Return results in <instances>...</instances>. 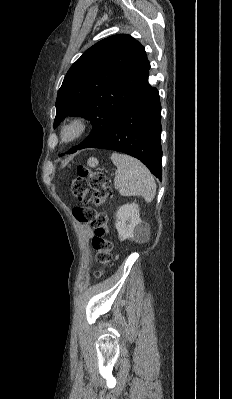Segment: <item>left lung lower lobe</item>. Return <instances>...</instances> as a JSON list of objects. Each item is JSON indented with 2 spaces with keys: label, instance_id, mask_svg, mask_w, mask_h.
I'll return each mask as SVG.
<instances>
[{
  "label": "left lung lower lobe",
  "instance_id": "1",
  "mask_svg": "<svg viewBox=\"0 0 232 399\" xmlns=\"http://www.w3.org/2000/svg\"><path fill=\"white\" fill-rule=\"evenodd\" d=\"M149 69L148 62L131 100L106 135L90 148L109 149L131 155L161 180V105L158 90L148 83Z\"/></svg>",
  "mask_w": 232,
  "mask_h": 399
}]
</instances>
